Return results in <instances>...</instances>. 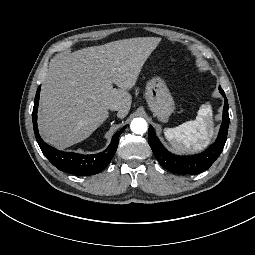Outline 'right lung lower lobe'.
<instances>
[{"mask_svg":"<svg viewBox=\"0 0 255 255\" xmlns=\"http://www.w3.org/2000/svg\"><path fill=\"white\" fill-rule=\"evenodd\" d=\"M39 94L40 87L38 88L35 96L32 118L35 137L43 154L55 167L69 174L78 176H89L101 172L114 156L119 143L118 138L123 132V130L126 128V126H124L120 131L115 133L108 148L98 154L81 155L74 152L59 151L43 142L38 133L37 108L39 102Z\"/></svg>","mask_w":255,"mask_h":255,"instance_id":"obj_1","label":"right lung lower lobe"}]
</instances>
